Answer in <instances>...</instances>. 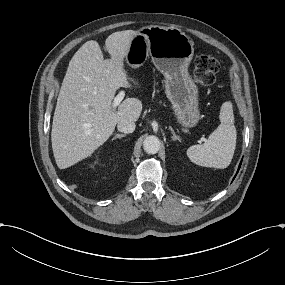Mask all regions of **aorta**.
Wrapping results in <instances>:
<instances>
[{
  "label": "aorta",
  "mask_w": 285,
  "mask_h": 285,
  "mask_svg": "<svg viewBox=\"0 0 285 285\" xmlns=\"http://www.w3.org/2000/svg\"><path fill=\"white\" fill-rule=\"evenodd\" d=\"M143 149L148 154H156L160 149V140L152 135L148 136L143 142Z\"/></svg>",
  "instance_id": "aorta-1"
}]
</instances>
